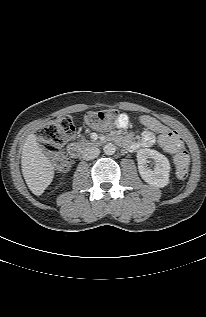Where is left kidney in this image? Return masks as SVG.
<instances>
[{"label":"left kidney","instance_id":"5707ae66","mask_svg":"<svg viewBox=\"0 0 206 317\" xmlns=\"http://www.w3.org/2000/svg\"><path fill=\"white\" fill-rule=\"evenodd\" d=\"M148 158L155 162L153 169L147 165ZM137 161L140 176L145 182L158 188L169 183L170 163L166 156L153 149H140L137 152Z\"/></svg>","mask_w":206,"mask_h":317}]
</instances>
